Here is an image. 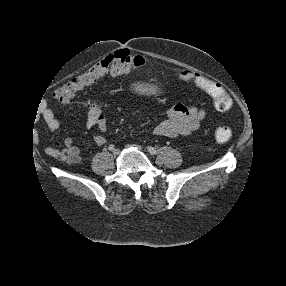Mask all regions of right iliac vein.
<instances>
[{
	"label": "right iliac vein",
	"mask_w": 286,
	"mask_h": 286,
	"mask_svg": "<svg viewBox=\"0 0 286 286\" xmlns=\"http://www.w3.org/2000/svg\"><path fill=\"white\" fill-rule=\"evenodd\" d=\"M112 153L114 156H118L120 154V151L118 149H114Z\"/></svg>",
	"instance_id": "1"
}]
</instances>
